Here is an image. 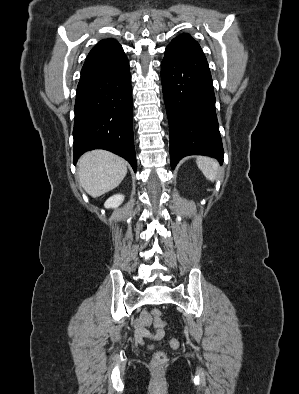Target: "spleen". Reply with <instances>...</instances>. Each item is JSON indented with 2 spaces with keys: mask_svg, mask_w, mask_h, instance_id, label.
I'll return each mask as SVG.
<instances>
[{
  "mask_svg": "<svg viewBox=\"0 0 299 394\" xmlns=\"http://www.w3.org/2000/svg\"><path fill=\"white\" fill-rule=\"evenodd\" d=\"M196 163L198 168L208 180L212 182L216 180L219 171V165L215 159L206 156H198Z\"/></svg>",
  "mask_w": 299,
  "mask_h": 394,
  "instance_id": "3e777b00",
  "label": "spleen"
}]
</instances>
